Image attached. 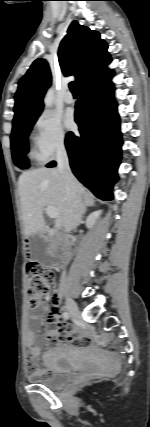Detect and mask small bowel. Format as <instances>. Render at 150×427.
I'll use <instances>...</instances> for the list:
<instances>
[{"instance_id": "obj_1", "label": "small bowel", "mask_w": 150, "mask_h": 427, "mask_svg": "<svg viewBox=\"0 0 150 427\" xmlns=\"http://www.w3.org/2000/svg\"><path fill=\"white\" fill-rule=\"evenodd\" d=\"M57 302V297L53 298ZM61 311L57 304L49 308L46 303H38L32 307V312L28 318V328L26 333V346L29 357L27 359L28 376L34 378H44L47 373L38 369L37 359L41 354L43 344H55L65 342L76 347H84L89 344V338L78 335L77 331L63 324L60 321ZM45 315H48L50 322L55 327L49 331L47 340L37 333V328L43 323Z\"/></svg>"}]
</instances>
